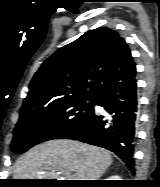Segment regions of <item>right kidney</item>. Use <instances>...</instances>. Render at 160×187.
<instances>
[{
	"label": "right kidney",
	"mask_w": 160,
	"mask_h": 187,
	"mask_svg": "<svg viewBox=\"0 0 160 187\" xmlns=\"http://www.w3.org/2000/svg\"><path fill=\"white\" fill-rule=\"evenodd\" d=\"M106 180H120V177L115 175V176H111L110 178H107Z\"/></svg>",
	"instance_id": "1"
}]
</instances>
